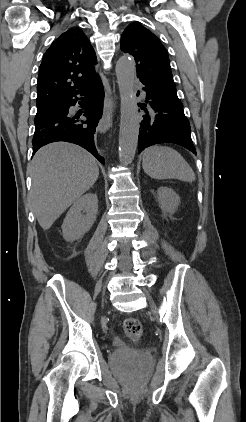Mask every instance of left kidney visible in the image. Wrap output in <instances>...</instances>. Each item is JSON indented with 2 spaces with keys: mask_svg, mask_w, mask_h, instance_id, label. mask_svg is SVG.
I'll return each instance as SVG.
<instances>
[{
  "mask_svg": "<svg viewBox=\"0 0 246 422\" xmlns=\"http://www.w3.org/2000/svg\"><path fill=\"white\" fill-rule=\"evenodd\" d=\"M157 196L161 210L164 213L174 214L180 204L179 195L172 188L161 186L157 190Z\"/></svg>",
  "mask_w": 246,
  "mask_h": 422,
  "instance_id": "5707ae66",
  "label": "left kidney"
}]
</instances>
